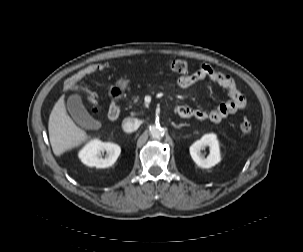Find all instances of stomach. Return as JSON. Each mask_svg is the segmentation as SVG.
<instances>
[{
	"label": "stomach",
	"mask_w": 303,
	"mask_h": 252,
	"mask_svg": "<svg viewBox=\"0 0 303 252\" xmlns=\"http://www.w3.org/2000/svg\"><path fill=\"white\" fill-rule=\"evenodd\" d=\"M118 85L121 86V87H125L127 85V81L120 80V81H118Z\"/></svg>",
	"instance_id": "obj_1"
}]
</instances>
